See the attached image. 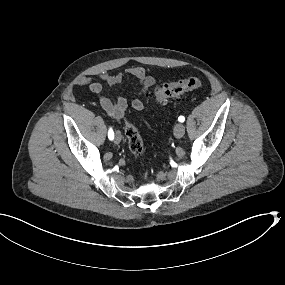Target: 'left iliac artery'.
<instances>
[{"label":"left iliac artery","mask_w":285,"mask_h":285,"mask_svg":"<svg viewBox=\"0 0 285 285\" xmlns=\"http://www.w3.org/2000/svg\"><path fill=\"white\" fill-rule=\"evenodd\" d=\"M178 121L179 122H184L185 121V117L184 116H179L178 117Z\"/></svg>","instance_id":"44dca946"}]
</instances>
